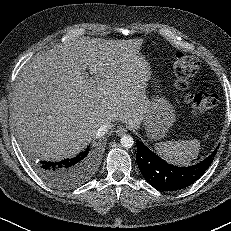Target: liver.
<instances>
[{"label":"liver","instance_id":"6515ba94","mask_svg":"<svg viewBox=\"0 0 231 231\" xmlns=\"http://www.w3.org/2000/svg\"><path fill=\"white\" fill-rule=\"evenodd\" d=\"M143 42L80 37L28 61L11 103L15 131L26 149L44 160H62L98 138L104 123L139 127L150 103Z\"/></svg>","mask_w":231,"mask_h":231}]
</instances>
